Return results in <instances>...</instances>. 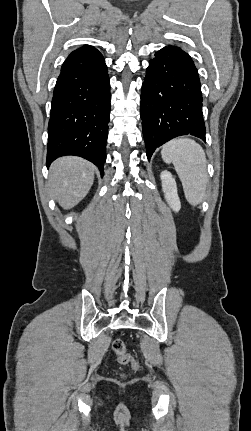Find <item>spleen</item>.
Returning <instances> with one entry per match:
<instances>
[{
  "label": "spleen",
  "instance_id": "3e777b00",
  "mask_svg": "<svg viewBox=\"0 0 251 431\" xmlns=\"http://www.w3.org/2000/svg\"><path fill=\"white\" fill-rule=\"evenodd\" d=\"M161 155L166 163H173L187 201L193 206L201 203L208 181L203 148L192 139L178 138L166 143Z\"/></svg>",
  "mask_w": 251,
  "mask_h": 431
}]
</instances>
